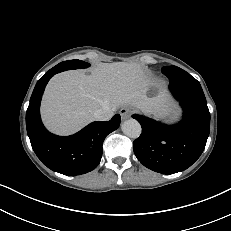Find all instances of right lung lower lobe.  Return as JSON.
<instances>
[{
    "label": "right lung lower lobe",
    "instance_id": "right-lung-lower-lobe-1",
    "mask_svg": "<svg viewBox=\"0 0 231 231\" xmlns=\"http://www.w3.org/2000/svg\"><path fill=\"white\" fill-rule=\"evenodd\" d=\"M59 70H49L38 80L26 112V128L32 148L42 163L67 176L95 169L102 157L105 137L120 125V115L110 121L93 122L78 133L61 137L48 132L40 118V102L49 79Z\"/></svg>",
    "mask_w": 231,
    "mask_h": 231
}]
</instances>
